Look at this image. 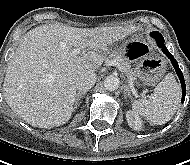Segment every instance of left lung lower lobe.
<instances>
[{"instance_id":"obj_1","label":"left lung lower lobe","mask_w":190,"mask_h":165,"mask_svg":"<svg viewBox=\"0 0 190 165\" xmlns=\"http://www.w3.org/2000/svg\"><path fill=\"white\" fill-rule=\"evenodd\" d=\"M151 36L156 40L158 46L162 49V52L167 55V57L171 60L172 65L174 66L177 75L179 76V79L182 84V102L185 100V95H186V85L184 81L183 74L178 66L177 61L174 59V57L169 53L167 50L166 46L163 44L164 39L163 36L159 32H152Z\"/></svg>"}]
</instances>
